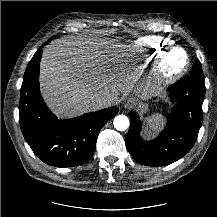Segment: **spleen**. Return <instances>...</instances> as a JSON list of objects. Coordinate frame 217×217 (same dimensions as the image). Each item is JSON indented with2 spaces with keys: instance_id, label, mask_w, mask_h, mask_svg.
Segmentation results:
<instances>
[{
  "instance_id": "spleen-1",
  "label": "spleen",
  "mask_w": 217,
  "mask_h": 217,
  "mask_svg": "<svg viewBox=\"0 0 217 217\" xmlns=\"http://www.w3.org/2000/svg\"><path fill=\"white\" fill-rule=\"evenodd\" d=\"M163 122H164V118L162 114L153 115L148 120L149 128L152 131H158L161 129Z\"/></svg>"
}]
</instances>
